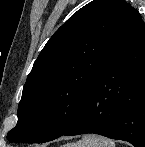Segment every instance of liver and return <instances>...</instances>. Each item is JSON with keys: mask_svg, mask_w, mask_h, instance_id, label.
<instances>
[{"mask_svg": "<svg viewBox=\"0 0 145 147\" xmlns=\"http://www.w3.org/2000/svg\"><path fill=\"white\" fill-rule=\"evenodd\" d=\"M64 147H70V146H68V145H65Z\"/></svg>", "mask_w": 145, "mask_h": 147, "instance_id": "1", "label": "liver"}]
</instances>
